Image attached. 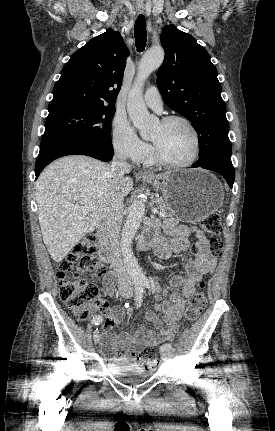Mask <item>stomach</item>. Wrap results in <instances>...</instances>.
Masks as SVG:
<instances>
[{
  "mask_svg": "<svg viewBox=\"0 0 275 431\" xmlns=\"http://www.w3.org/2000/svg\"><path fill=\"white\" fill-rule=\"evenodd\" d=\"M145 180L160 189L171 213L183 222H197L218 210L223 202L220 182L202 169L169 171Z\"/></svg>",
  "mask_w": 275,
  "mask_h": 431,
  "instance_id": "obj_1",
  "label": "stomach"
}]
</instances>
